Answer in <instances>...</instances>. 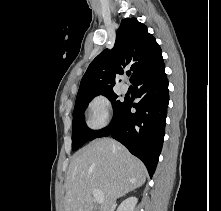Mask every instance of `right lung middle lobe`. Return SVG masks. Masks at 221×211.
I'll use <instances>...</instances> for the list:
<instances>
[{
  "label": "right lung middle lobe",
  "instance_id": "obj_1",
  "mask_svg": "<svg viewBox=\"0 0 221 211\" xmlns=\"http://www.w3.org/2000/svg\"><path fill=\"white\" fill-rule=\"evenodd\" d=\"M101 94L106 96L111 101L114 109V115L123 105V102L117 99L118 96L113 91L99 93V94L85 95L76 98V103L73 111V124H72L73 151L80 148L83 144H85L89 140H93L94 138H96L100 132V130L93 131L86 126L84 120V112L91 99Z\"/></svg>",
  "mask_w": 221,
  "mask_h": 211
}]
</instances>
